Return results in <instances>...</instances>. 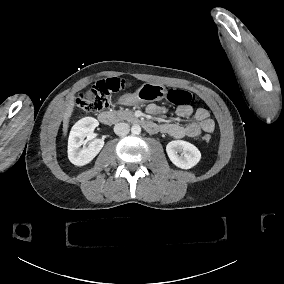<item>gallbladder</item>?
<instances>
[{
  "label": "gallbladder",
  "mask_w": 284,
  "mask_h": 284,
  "mask_svg": "<svg viewBox=\"0 0 284 284\" xmlns=\"http://www.w3.org/2000/svg\"><path fill=\"white\" fill-rule=\"evenodd\" d=\"M84 97L91 104L96 100V95L94 94L93 90H87Z\"/></svg>",
  "instance_id": "gallbladder-1"
}]
</instances>
